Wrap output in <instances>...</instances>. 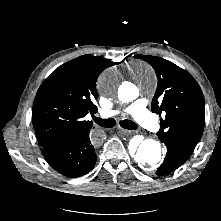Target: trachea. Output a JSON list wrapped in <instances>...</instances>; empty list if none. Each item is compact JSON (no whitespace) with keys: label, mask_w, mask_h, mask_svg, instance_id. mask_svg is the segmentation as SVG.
<instances>
[{"label":"trachea","mask_w":221,"mask_h":221,"mask_svg":"<svg viewBox=\"0 0 221 221\" xmlns=\"http://www.w3.org/2000/svg\"><path fill=\"white\" fill-rule=\"evenodd\" d=\"M93 120L95 123H97L98 125L104 128H112L116 125V121L114 118L103 120L101 118L93 117ZM119 124L124 129H129V130L137 129L136 123L133 122L132 120L125 119V120L120 121Z\"/></svg>","instance_id":"obj_1"}]
</instances>
